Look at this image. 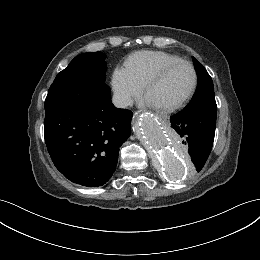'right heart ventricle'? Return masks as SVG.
<instances>
[{"instance_id": "obj_1", "label": "right heart ventricle", "mask_w": 260, "mask_h": 260, "mask_svg": "<svg viewBox=\"0 0 260 260\" xmlns=\"http://www.w3.org/2000/svg\"><path fill=\"white\" fill-rule=\"evenodd\" d=\"M180 60L178 56L162 51H139L125 62V71L136 82L144 85L161 66Z\"/></svg>"}]
</instances>
